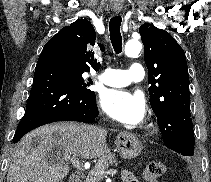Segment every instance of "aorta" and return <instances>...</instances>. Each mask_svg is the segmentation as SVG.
Here are the masks:
<instances>
[{
    "label": "aorta",
    "mask_w": 211,
    "mask_h": 182,
    "mask_svg": "<svg viewBox=\"0 0 211 182\" xmlns=\"http://www.w3.org/2000/svg\"><path fill=\"white\" fill-rule=\"evenodd\" d=\"M141 50H142V44L141 42L136 41V40H129L125 44V48H124L125 55L128 57L138 56Z\"/></svg>",
    "instance_id": "1"
}]
</instances>
